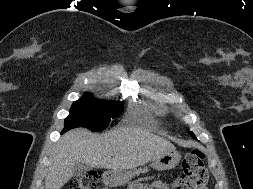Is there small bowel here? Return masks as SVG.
<instances>
[{
  "instance_id": "c3829d8e",
  "label": "small bowel",
  "mask_w": 253,
  "mask_h": 189,
  "mask_svg": "<svg viewBox=\"0 0 253 189\" xmlns=\"http://www.w3.org/2000/svg\"><path fill=\"white\" fill-rule=\"evenodd\" d=\"M131 189H168L167 185L162 181H155L151 185L149 184H136Z\"/></svg>"
}]
</instances>
